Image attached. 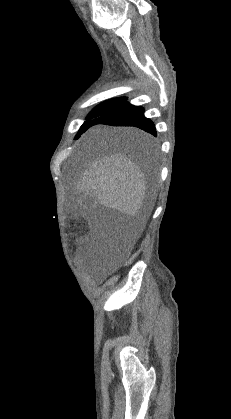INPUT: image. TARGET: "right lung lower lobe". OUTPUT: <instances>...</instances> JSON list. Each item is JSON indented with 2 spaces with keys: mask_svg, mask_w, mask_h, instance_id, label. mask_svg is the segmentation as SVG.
Wrapping results in <instances>:
<instances>
[{
  "mask_svg": "<svg viewBox=\"0 0 231 419\" xmlns=\"http://www.w3.org/2000/svg\"><path fill=\"white\" fill-rule=\"evenodd\" d=\"M95 124L124 125L138 127L157 136L153 122L144 116V108L124 102L100 116Z\"/></svg>",
  "mask_w": 231,
  "mask_h": 419,
  "instance_id": "obj_1",
  "label": "right lung lower lobe"
}]
</instances>
